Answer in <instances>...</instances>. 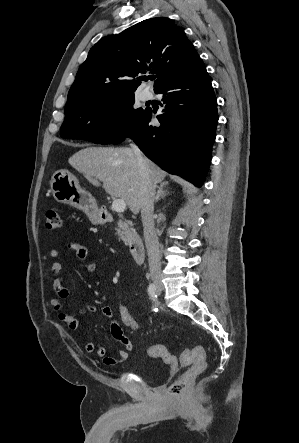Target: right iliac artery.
<instances>
[{"instance_id":"1","label":"right iliac artery","mask_w":299,"mask_h":443,"mask_svg":"<svg viewBox=\"0 0 299 443\" xmlns=\"http://www.w3.org/2000/svg\"><path fill=\"white\" fill-rule=\"evenodd\" d=\"M148 293H149L150 298L153 301H156V298H157V287L155 286V284L151 283L148 286Z\"/></svg>"}]
</instances>
